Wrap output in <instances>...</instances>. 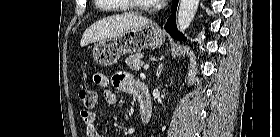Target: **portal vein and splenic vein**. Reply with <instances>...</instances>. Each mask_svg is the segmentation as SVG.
Here are the masks:
<instances>
[{
	"mask_svg": "<svg viewBox=\"0 0 280 137\" xmlns=\"http://www.w3.org/2000/svg\"><path fill=\"white\" fill-rule=\"evenodd\" d=\"M148 68H149V65H148V64H145V65H144V69L147 70Z\"/></svg>",
	"mask_w": 280,
	"mask_h": 137,
	"instance_id": "portal-vein-and-splenic-vein-1",
	"label": "portal vein and splenic vein"
}]
</instances>
